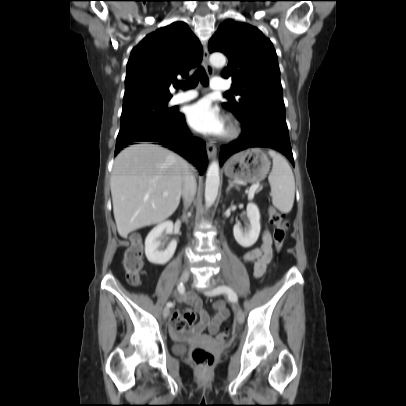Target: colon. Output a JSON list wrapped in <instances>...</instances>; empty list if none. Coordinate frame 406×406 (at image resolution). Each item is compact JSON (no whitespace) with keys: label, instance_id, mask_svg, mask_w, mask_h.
Instances as JSON below:
<instances>
[{"label":"colon","instance_id":"obj_1","mask_svg":"<svg viewBox=\"0 0 406 406\" xmlns=\"http://www.w3.org/2000/svg\"><path fill=\"white\" fill-rule=\"evenodd\" d=\"M269 221L273 226L275 248L279 250L285 241L288 228L287 222L284 214L273 207L269 208ZM122 263L127 281L131 284L139 283L144 274V261L143 247L138 238H133L124 253ZM195 318L193 312H174L170 319V326L176 331H182L186 326L192 324ZM216 338L219 343L223 344L230 340V334L228 332H221ZM191 358L193 363L201 368H207L214 362L213 354L203 348H196L192 352Z\"/></svg>","mask_w":406,"mask_h":406}]
</instances>
